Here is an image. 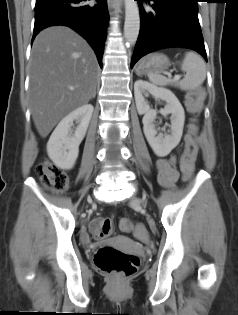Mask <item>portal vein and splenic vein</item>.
Masks as SVG:
<instances>
[{
	"label": "portal vein and splenic vein",
	"mask_w": 238,
	"mask_h": 315,
	"mask_svg": "<svg viewBox=\"0 0 238 315\" xmlns=\"http://www.w3.org/2000/svg\"><path fill=\"white\" fill-rule=\"evenodd\" d=\"M169 77H170V75L169 74H167ZM181 78V75H175L174 76V80H179ZM71 90H73L74 88H70Z\"/></svg>",
	"instance_id": "portal-vein-and-splenic-vein-1"
}]
</instances>
